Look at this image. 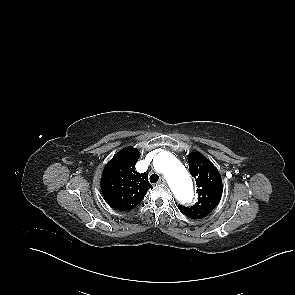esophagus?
<instances>
[{
    "label": "esophagus",
    "mask_w": 295,
    "mask_h": 295,
    "mask_svg": "<svg viewBox=\"0 0 295 295\" xmlns=\"http://www.w3.org/2000/svg\"><path fill=\"white\" fill-rule=\"evenodd\" d=\"M159 184H166V180L164 178H160Z\"/></svg>",
    "instance_id": "1"
}]
</instances>
